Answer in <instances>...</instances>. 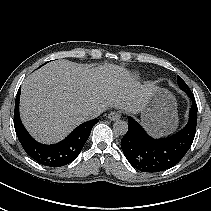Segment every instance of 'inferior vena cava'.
Listing matches in <instances>:
<instances>
[{
	"instance_id": "1",
	"label": "inferior vena cava",
	"mask_w": 211,
	"mask_h": 211,
	"mask_svg": "<svg viewBox=\"0 0 211 211\" xmlns=\"http://www.w3.org/2000/svg\"><path fill=\"white\" fill-rule=\"evenodd\" d=\"M103 111L101 109H91L89 110L86 115L89 117V118H96L98 117Z\"/></svg>"
}]
</instances>
